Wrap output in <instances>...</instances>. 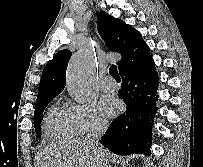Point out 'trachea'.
<instances>
[{"label": "trachea", "mask_w": 203, "mask_h": 167, "mask_svg": "<svg viewBox=\"0 0 203 167\" xmlns=\"http://www.w3.org/2000/svg\"><path fill=\"white\" fill-rule=\"evenodd\" d=\"M110 75L115 79V80H120V76L117 70L116 65H112L109 69Z\"/></svg>", "instance_id": "obj_1"}]
</instances>
